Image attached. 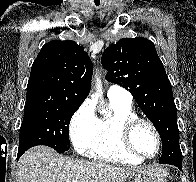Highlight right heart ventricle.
Instances as JSON below:
<instances>
[{"mask_svg": "<svg viewBox=\"0 0 196 182\" xmlns=\"http://www.w3.org/2000/svg\"><path fill=\"white\" fill-rule=\"evenodd\" d=\"M111 114L97 120L94 140L87 154L90 158L107 163L138 165L143 160L127 153L120 142L119 128L125 119L137 116L131 103L110 100Z\"/></svg>", "mask_w": 196, "mask_h": 182, "instance_id": "e07e8e85", "label": "right heart ventricle"}]
</instances>
